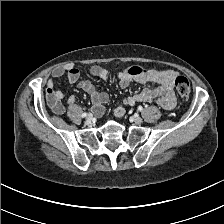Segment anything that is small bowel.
Returning <instances> with one entry per match:
<instances>
[{
  "instance_id": "1",
  "label": "small bowel",
  "mask_w": 224,
  "mask_h": 224,
  "mask_svg": "<svg viewBox=\"0 0 224 224\" xmlns=\"http://www.w3.org/2000/svg\"><path fill=\"white\" fill-rule=\"evenodd\" d=\"M90 73L92 76L102 80L108 78V71L99 65H93L90 68ZM64 75H66L70 83H77V86L90 96L94 114L97 116L101 115L103 113V105L108 101V95L105 92H100L91 81L80 80V71L72 65L56 68L53 71L52 78L47 82L46 96L52 111L59 115L65 112V107L61 103L64 93L55 89V78H60ZM176 76L177 73L173 70H150L133 77L126 72L121 73L119 84L122 88L129 87L133 81L139 84L155 83L156 86L144 88L142 91L126 97L122 105L115 110V115L120 117L124 112V106H131L138 102H150L154 99H157L158 105L163 109H173L176 105V96L173 91ZM75 101L76 96H69L68 103L72 104Z\"/></svg>"
}]
</instances>
